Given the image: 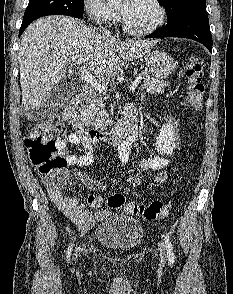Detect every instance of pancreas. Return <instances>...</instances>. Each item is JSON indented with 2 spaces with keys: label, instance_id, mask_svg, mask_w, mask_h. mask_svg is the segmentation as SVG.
I'll return each instance as SVG.
<instances>
[{
  "label": "pancreas",
  "instance_id": "obj_1",
  "mask_svg": "<svg viewBox=\"0 0 233 294\" xmlns=\"http://www.w3.org/2000/svg\"><path fill=\"white\" fill-rule=\"evenodd\" d=\"M143 77L142 89H146L148 93H163L164 89L169 87V83L160 81L154 77H151L147 73H140ZM103 95L101 93H93L83 105V114L86 122L95 129H104L106 127L103 117L105 115V103Z\"/></svg>",
  "mask_w": 233,
  "mask_h": 294
}]
</instances>
